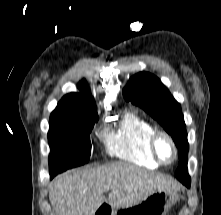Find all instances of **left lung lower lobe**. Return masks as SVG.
Here are the masks:
<instances>
[{
	"label": "left lung lower lobe",
	"instance_id": "1",
	"mask_svg": "<svg viewBox=\"0 0 221 215\" xmlns=\"http://www.w3.org/2000/svg\"><path fill=\"white\" fill-rule=\"evenodd\" d=\"M180 182H182L186 187H190V183L191 181H182V180H179Z\"/></svg>",
	"mask_w": 221,
	"mask_h": 215
}]
</instances>
